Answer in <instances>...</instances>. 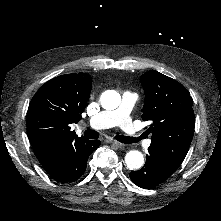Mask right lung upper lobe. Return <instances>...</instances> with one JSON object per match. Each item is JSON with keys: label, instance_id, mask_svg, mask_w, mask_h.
Returning <instances> with one entry per match:
<instances>
[{"label": "right lung upper lobe", "instance_id": "obj_1", "mask_svg": "<svg viewBox=\"0 0 221 221\" xmlns=\"http://www.w3.org/2000/svg\"><path fill=\"white\" fill-rule=\"evenodd\" d=\"M92 79L86 73L55 77L36 92L28 108L27 134L44 169L78 142L85 141L71 130L81 120L90 95Z\"/></svg>", "mask_w": 221, "mask_h": 221}]
</instances>
